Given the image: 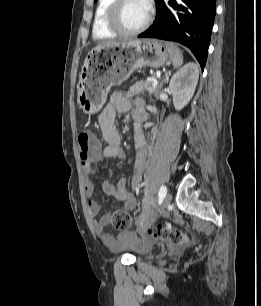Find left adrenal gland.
I'll return each mask as SVG.
<instances>
[{
  "mask_svg": "<svg viewBox=\"0 0 261 306\" xmlns=\"http://www.w3.org/2000/svg\"><path fill=\"white\" fill-rule=\"evenodd\" d=\"M170 74H171L170 71L167 72V73H165V76H164V77H165V79H164L165 82H168V78H169ZM163 83H164V82H162V85H163Z\"/></svg>",
  "mask_w": 261,
  "mask_h": 306,
  "instance_id": "1",
  "label": "left adrenal gland"
}]
</instances>
